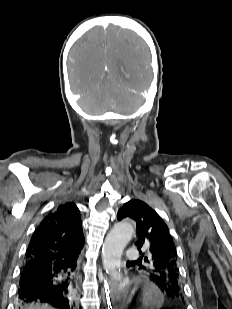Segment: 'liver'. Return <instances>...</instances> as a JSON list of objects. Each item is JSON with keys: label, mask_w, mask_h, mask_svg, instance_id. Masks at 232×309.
Returning <instances> with one entry per match:
<instances>
[{"label": "liver", "mask_w": 232, "mask_h": 309, "mask_svg": "<svg viewBox=\"0 0 232 309\" xmlns=\"http://www.w3.org/2000/svg\"><path fill=\"white\" fill-rule=\"evenodd\" d=\"M26 309H54L48 305H40V304H37V305H32V306H29L28 308Z\"/></svg>", "instance_id": "liver-1"}]
</instances>
